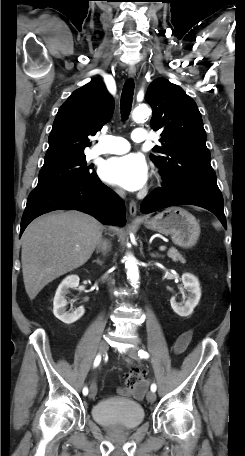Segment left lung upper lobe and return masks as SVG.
Returning <instances> with one entry per match:
<instances>
[{"mask_svg": "<svg viewBox=\"0 0 245 456\" xmlns=\"http://www.w3.org/2000/svg\"><path fill=\"white\" fill-rule=\"evenodd\" d=\"M146 101L153 109L150 126L162 130V146L153 148L151 159L163 179L217 186L202 117L194 100L181 87L157 78L148 87Z\"/></svg>", "mask_w": 245, "mask_h": 456, "instance_id": "obj_1", "label": "left lung upper lobe"}]
</instances>
